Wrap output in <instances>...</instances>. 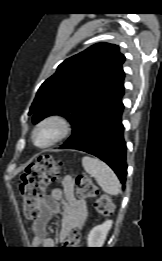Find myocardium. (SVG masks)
Instances as JSON below:
<instances>
[{"label": "myocardium", "mask_w": 162, "mask_h": 261, "mask_svg": "<svg viewBox=\"0 0 162 261\" xmlns=\"http://www.w3.org/2000/svg\"><path fill=\"white\" fill-rule=\"evenodd\" d=\"M45 128H52L53 133L45 143L38 144L36 141V136L39 131ZM70 132L71 124L66 117L58 114L49 115L36 124L32 131L31 140L35 147L39 149H46L60 142L68 136Z\"/></svg>", "instance_id": "obj_1"}]
</instances>
